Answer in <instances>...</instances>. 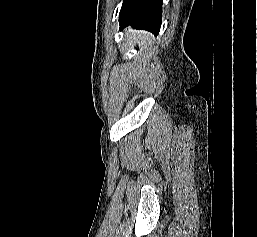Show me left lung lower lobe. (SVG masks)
Returning <instances> with one entry per match:
<instances>
[{
    "label": "left lung lower lobe",
    "mask_w": 257,
    "mask_h": 237,
    "mask_svg": "<svg viewBox=\"0 0 257 237\" xmlns=\"http://www.w3.org/2000/svg\"><path fill=\"white\" fill-rule=\"evenodd\" d=\"M162 0H123L119 14L120 29L131 25L157 35L161 26Z\"/></svg>",
    "instance_id": "1"
}]
</instances>
